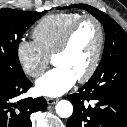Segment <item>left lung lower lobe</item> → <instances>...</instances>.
Instances as JSON below:
<instances>
[{
    "label": "left lung lower lobe",
    "instance_id": "left-lung-lower-lobe-1",
    "mask_svg": "<svg viewBox=\"0 0 127 127\" xmlns=\"http://www.w3.org/2000/svg\"><path fill=\"white\" fill-rule=\"evenodd\" d=\"M68 99L74 111L67 127H127V61L93 74Z\"/></svg>",
    "mask_w": 127,
    "mask_h": 127
}]
</instances>
